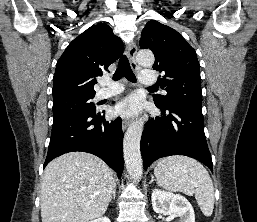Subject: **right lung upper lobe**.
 Masks as SVG:
<instances>
[{
	"instance_id": "cb5924a9",
	"label": "right lung upper lobe",
	"mask_w": 257,
	"mask_h": 222,
	"mask_svg": "<svg viewBox=\"0 0 257 222\" xmlns=\"http://www.w3.org/2000/svg\"><path fill=\"white\" fill-rule=\"evenodd\" d=\"M120 38L110 26L93 25L74 39L59 58L53 77V99L95 95V78L123 53Z\"/></svg>"
}]
</instances>
